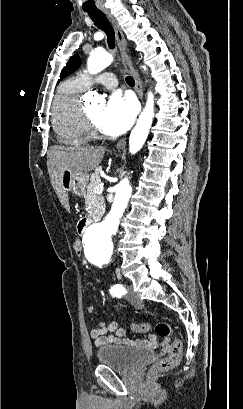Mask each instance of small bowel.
Here are the masks:
<instances>
[{"mask_svg": "<svg viewBox=\"0 0 243 409\" xmlns=\"http://www.w3.org/2000/svg\"><path fill=\"white\" fill-rule=\"evenodd\" d=\"M95 307L90 305L87 308L89 314L94 313ZM91 338L93 339L96 346H102L106 344L113 345H126L132 347H142L155 349L158 346L157 338L155 335L150 334L147 338H127L125 337V331L118 327L116 322H110L108 324L98 323L95 325L90 332ZM164 351H169V347L163 346Z\"/></svg>", "mask_w": 243, "mask_h": 409, "instance_id": "obj_1", "label": "small bowel"}]
</instances>
